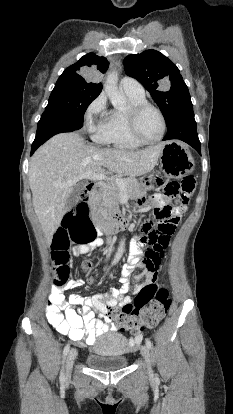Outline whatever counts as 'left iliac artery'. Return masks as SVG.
<instances>
[{
    "mask_svg": "<svg viewBox=\"0 0 233 414\" xmlns=\"http://www.w3.org/2000/svg\"><path fill=\"white\" fill-rule=\"evenodd\" d=\"M145 342H146L147 347H148L149 349H151V348H152V343H151V341H150L149 339H146V340H145Z\"/></svg>",
    "mask_w": 233,
    "mask_h": 414,
    "instance_id": "left-iliac-artery-1",
    "label": "left iliac artery"
}]
</instances>
